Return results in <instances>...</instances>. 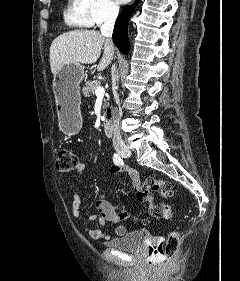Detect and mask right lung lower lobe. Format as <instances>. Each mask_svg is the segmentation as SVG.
I'll use <instances>...</instances> for the list:
<instances>
[{
    "instance_id": "right-lung-lower-lobe-1",
    "label": "right lung lower lobe",
    "mask_w": 240,
    "mask_h": 281,
    "mask_svg": "<svg viewBox=\"0 0 240 281\" xmlns=\"http://www.w3.org/2000/svg\"><path fill=\"white\" fill-rule=\"evenodd\" d=\"M138 0L134 2L131 6H126L121 14L118 16L114 31H113V42L118 47V49L127 54L129 51L130 44L127 40V33H128V22L129 18L132 15L135 6L137 5Z\"/></svg>"
}]
</instances>
